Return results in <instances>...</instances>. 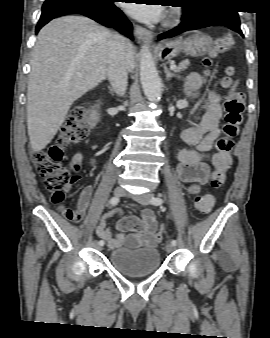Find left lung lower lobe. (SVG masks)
Here are the masks:
<instances>
[{"label":"left lung lower lobe","mask_w":270,"mask_h":338,"mask_svg":"<svg viewBox=\"0 0 270 338\" xmlns=\"http://www.w3.org/2000/svg\"><path fill=\"white\" fill-rule=\"evenodd\" d=\"M210 26H225L243 36L237 11L217 6L204 11L193 18H184L183 22L178 27L160 34L159 39L172 38L186 31Z\"/></svg>","instance_id":"0a47b994"}]
</instances>
